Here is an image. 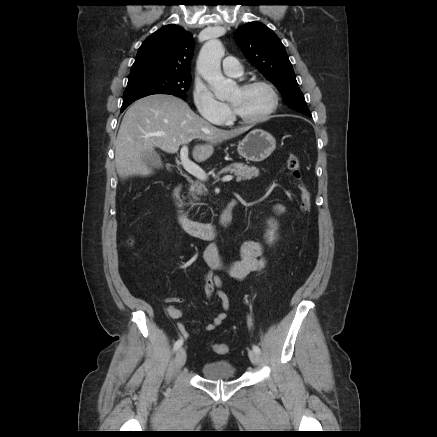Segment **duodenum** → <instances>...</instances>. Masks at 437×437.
<instances>
[{
	"label": "duodenum",
	"mask_w": 437,
	"mask_h": 437,
	"mask_svg": "<svg viewBox=\"0 0 437 437\" xmlns=\"http://www.w3.org/2000/svg\"><path fill=\"white\" fill-rule=\"evenodd\" d=\"M181 189L182 186L178 185L173 191V200L180 226L187 233L195 237L210 239L217 236L219 229L216 226L211 223L194 220L188 216L181 200ZM235 205L236 200L231 199L223 209L220 215V227L222 229H226L230 225L232 219V209Z\"/></svg>",
	"instance_id": "obj_1"
}]
</instances>
